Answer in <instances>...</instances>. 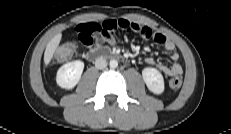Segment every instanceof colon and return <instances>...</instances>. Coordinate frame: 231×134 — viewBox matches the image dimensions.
<instances>
[{
	"mask_svg": "<svg viewBox=\"0 0 231 134\" xmlns=\"http://www.w3.org/2000/svg\"><path fill=\"white\" fill-rule=\"evenodd\" d=\"M73 48L71 45H64L60 47L55 55H54V60L58 63L66 61L72 54ZM182 85V80L179 77H173L169 81V86L172 89H179Z\"/></svg>",
	"mask_w": 231,
	"mask_h": 134,
	"instance_id": "obj_1",
	"label": "colon"
}]
</instances>
